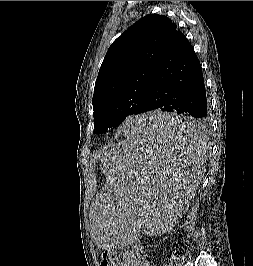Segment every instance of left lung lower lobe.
<instances>
[{
	"label": "left lung lower lobe",
	"mask_w": 253,
	"mask_h": 266,
	"mask_svg": "<svg viewBox=\"0 0 253 266\" xmlns=\"http://www.w3.org/2000/svg\"><path fill=\"white\" fill-rule=\"evenodd\" d=\"M162 110L192 117L191 121L154 125L170 137L200 136L208 124V106L199 59L177 28L160 56L147 94L145 111Z\"/></svg>",
	"instance_id": "0a47b994"
}]
</instances>
